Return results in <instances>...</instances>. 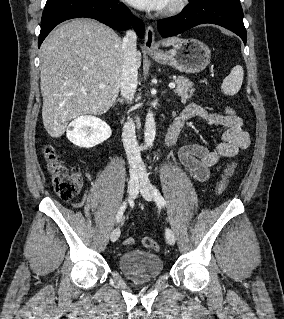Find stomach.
<instances>
[{
	"mask_svg": "<svg viewBox=\"0 0 284 319\" xmlns=\"http://www.w3.org/2000/svg\"><path fill=\"white\" fill-rule=\"evenodd\" d=\"M162 65H169L180 72L198 73L210 63L211 51L206 44L197 39H180L171 50L150 53Z\"/></svg>",
	"mask_w": 284,
	"mask_h": 319,
	"instance_id": "obj_1",
	"label": "stomach"
}]
</instances>
